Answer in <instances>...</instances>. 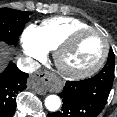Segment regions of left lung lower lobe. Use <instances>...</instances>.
I'll list each match as a JSON object with an SVG mask.
<instances>
[{"label": "left lung lower lobe", "mask_w": 117, "mask_h": 117, "mask_svg": "<svg viewBox=\"0 0 117 117\" xmlns=\"http://www.w3.org/2000/svg\"><path fill=\"white\" fill-rule=\"evenodd\" d=\"M113 76L105 67L94 77L81 81H67L59 94L63 106L49 117H97L105 107Z\"/></svg>", "instance_id": "1"}]
</instances>
